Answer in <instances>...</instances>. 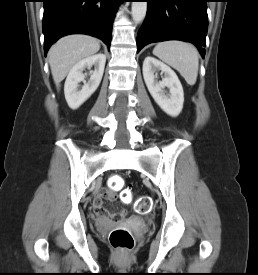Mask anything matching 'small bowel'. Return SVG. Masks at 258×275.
<instances>
[{"label":"small bowel","instance_id":"obj_1","mask_svg":"<svg viewBox=\"0 0 258 275\" xmlns=\"http://www.w3.org/2000/svg\"><path fill=\"white\" fill-rule=\"evenodd\" d=\"M115 198L114 193L111 190L103 189L99 191L96 195V197L93 200L92 206L95 212L100 215L101 217H109L110 212L108 209L104 206V199L113 200Z\"/></svg>","mask_w":258,"mask_h":275}]
</instances>
